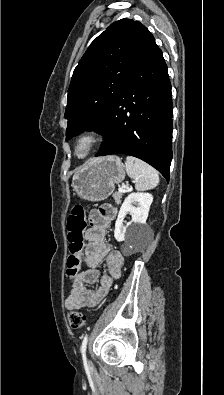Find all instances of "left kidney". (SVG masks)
<instances>
[{"label":"left kidney","instance_id":"5707ae66","mask_svg":"<svg viewBox=\"0 0 224 395\" xmlns=\"http://www.w3.org/2000/svg\"><path fill=\"white\" fill-rule=\"evenodd\" d=\"M152 202L153 196L150 193L134 192L127 196L115 223L114 237L118 242L124 241L127 233L137 239L144 235V224H146ZM134 204H137V207ZM127 213H130L132 219L124 226L123 222Z\"/></svg>","mask_w":224,"mask_h":395}]
</instances>
